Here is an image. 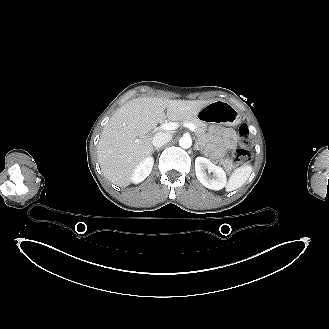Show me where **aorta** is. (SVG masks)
<instances>
[{
    "instance_id": "obj_1",
    "label": "aorta",
    "mask_w": 329,
    "mask_h": 329,
    "mask_svg": "<svg viewBox=\"0 0 329 329\" xmlns=\"http://www.w3.org/2000/svg\"><path fill=\"white\" fill-rule=\"evenodd\" d=\"M192 145V139L189 135H184L180 138L179 140V146L184 148V149H188L190 148Z\"/></svg>"
}]
</instances>
